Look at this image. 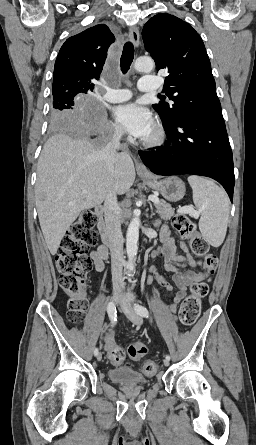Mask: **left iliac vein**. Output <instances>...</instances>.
Returning a JSON list of instances; mask_svg holds the SVG:
<instances>
[{
    "label": "left iliac vein",
    "mask_w": 256,
    "mask_h": 445,
    "mask_svg": "<svg viewBox=\"0 0 256 445\" xmlns=\"http://www.w3.org/2000/svg\"><path fill=\"white\" fill-rule=\"evenodd\" d=\"M120 307L122 309V311L124 312V314L127 316V318L134 323L135 325H141L143 322L142 317L136 312V310L129 305L124 299L120 300ZM163 364L165 366H169V360L168 359H164L163 360Z\"/></svg>",
    "instance_id": "1"
}]
</instances>
